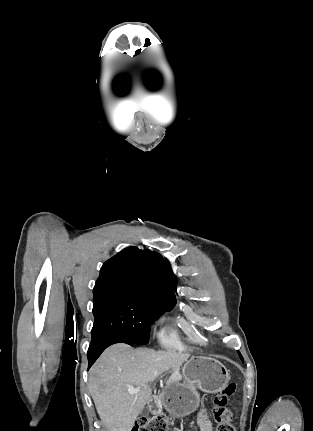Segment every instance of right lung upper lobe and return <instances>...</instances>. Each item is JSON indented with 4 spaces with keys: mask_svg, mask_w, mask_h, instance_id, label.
Listing matches in <instances>:
<instances>
[{
    "mask_svg": "<svg viewBox=\"0 0 313 431\" xmlns=\"http://www.w3.org/2000/svg\"><path fill=\"white\" fill-rule=\"evenodd\" d=\"M169 272L170 266L160 254L129 247L103 264L93 294L118 292L172 306L176 298Z\"/></svg>",
    "mask_w": 313,
    "mask_h": 431,
    "instance_id": "1",
    "label": "right lung upper lobe"
}]
</instances>
